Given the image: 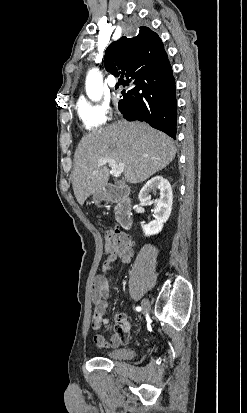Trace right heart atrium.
<instances>
[{"instance_id":"obj_1","label":"right heart atrium","mask_w":247,"mask_h":413,"mask_svg":"<svg viewBox=\"0 0 247 413\" xmlns=\"http://www.w3.org/2000/svg\"><path fill=\"white\" fill-rule=\"evenodd\" d=\"M78 118L91 132L96 130V126L101 127L108 119L109 114H113V105H93L91 100H77Z\"/></svg>"}]
</instances>
